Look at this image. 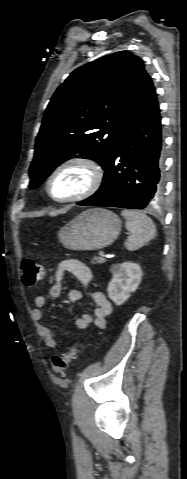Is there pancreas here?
<instances>
[{
    "instance_id": "1",
    "label": "pancreas",
    "mask_w": 187,
    "mask_h": 479,
    "mask_svg": "<svg viewBox=\"0 0 187 479\" xmlns=\"http://www.w3.org/2000/svg\"><path fill=\"white\" fill-rule=\"evenodd\" d=\"M106 260L102 257H99V256H95L93 259H92V264H95V263H99V264H102V263H105Z\"/></svg>"
}]
</instances>
